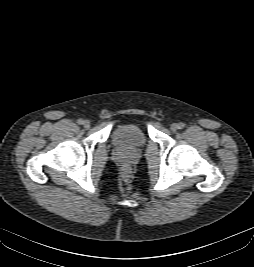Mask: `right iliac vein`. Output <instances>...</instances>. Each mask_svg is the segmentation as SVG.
Wrapping results in <instances>:
<instances>
[{
    "label": "right iliac vein",
    "mask_w": 254,
    "mask_h": 267,
    "mask_svg": "<svg viewBox=\"0 0 254 267\" xmlns=\"http://www.w3.org/2000/svg\"><path fill=\"white\" fill-rule=\"evenodd\" d=\"M83 126H84L86 129H88V128H90L91 124H90V122H89L88 120H85V121L83 122Z\"/></svg>",
    "instance_id": "63e3f726"
}]
</instances>
